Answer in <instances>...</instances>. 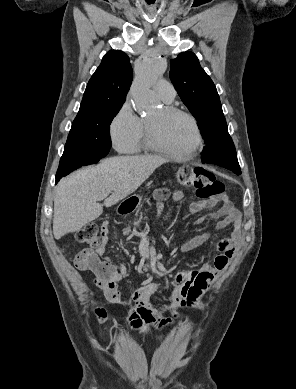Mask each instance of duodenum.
<instances>
[{"instance_id": "1", "label": "duodenum", "mask_w": 296, "mask_h": 389, "mask_svg": "<svg viewBox=\"0 0 296 389\" xmlns=\"http://www.w3.org/2000/svg\"><path fill=\"white\" fill-rule=\"evenodd\" d=\"M135 205L132 204V203H129V204H126L124 207H123V212L124 213H128V212H131L133 209H134ZM143 269H148L149 268V263L146 262L142 265Z\"/></svg>"}]
</instances>
